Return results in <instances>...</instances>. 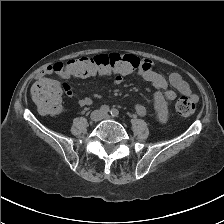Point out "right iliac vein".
I'll use <instances>...</instances> for the list:
<instances>
[{
	"mask_svg": "<svg viewBox=\"0 0 224 224\" xmlns=\"http://www.w3.org/2000/svg\"><path fill=\"white\" fill-rule=\"evenodd\" d=\"M102 118V114L100 113V111H94L92 114H91V119L95 122L101 120Z\"/></svg>",
	"mask_w": 224,
	"mask_h": 224,
	"instance_id": "1",
	"label": "right iliac vein"
}]
</instances>
